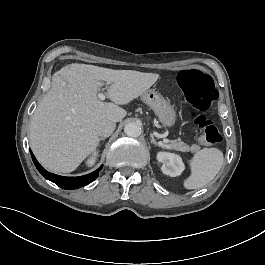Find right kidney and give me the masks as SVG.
Segmentation results:
<instances>
[{
	"instance_id": "1",
	"label": "right kidney",
	"mask_w": 265,
	"mask_h": 265,
	"mask_svg": "<svg viewBox=\"0 0 265 265\" xmlns=\"http://www.w3.org/2000/svg\"><path fill=\"white\" fill-rule=\"evenodd\" d=\"M94 163H95V157L93 156V157H92V160L89 161V164H90V165H93Z\"/></svg>"
}]
</instances>
